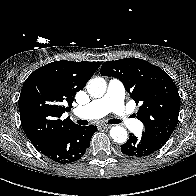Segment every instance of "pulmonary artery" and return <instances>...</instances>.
Wrapping results in <instances>:
<instances>
[{
  "label": "pulmonary artery",
  "instance_id": "obj_1",
  "mask_svg": "<svg viewBox=\"0 0 196 196\" xmlns=\"http://www.w3.org/2000/svg\"><path fill=\"white\" fill-rule=\"evenodd\" d=\"M125 88L117 79H111L104 96L78 107L74 114L83 119H97L113 112L121 123L130 130H139V123L127 111L124 104Z\"/></svg>",
  "mask_w": 196,
  "mask_h": 196
}]
</instances>
